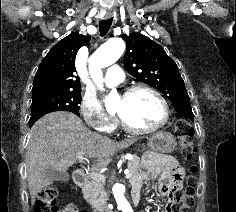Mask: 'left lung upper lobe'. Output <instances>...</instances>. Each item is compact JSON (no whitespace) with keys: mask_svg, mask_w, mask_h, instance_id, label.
<instances>
[{"mask_svg":"<svg viewBox=\"0 0 236 212\" xmlns=\"http://www.w3.org/2000/svg\"><path fill=\"white\" fill-rule=\"evenodd\" d=\"M126 71L164 94L175 110L190 106V98L177 65L164 49L141 33L124 34Z\"/></svg>","mask_w":236,"mask_h":212,"instance_id":"obj_1","label":"left lung upper lobe"}]
</instances>
